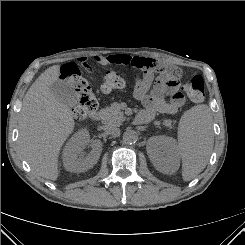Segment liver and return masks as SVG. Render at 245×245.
Returning a JSON list of instances; mask_svg holds the SVG:
<instances>
[{
	"label": "liver",
	"mask_w": 245,
	"mask_h": 245,
	"mask_svg": "<svg viewBox=\"0 0 245 245\" xmlns=\"http://www.w3.org/2000/svg\"><path fill=\"white\" fill-rule=\"evenodd\" d=\"M60 76L54 65L42 73L27 91L19 119V148L37 175L55 181L59 152L74 130L71 109L57 100L50 86Z\"/></svg>",
	"instance_id": "6515ba94"
}]
</instances>
